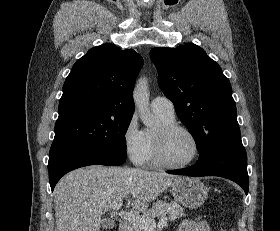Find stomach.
<instances>
[{
    "label": "stomach",
    "instance_id": "obj_1",
    "mask_svg": "<svg viewBox=\"0 0 280 231\" xmlns=\"http://www.w3.org/2000/svg\"><path fill=\"white\" fill-rule=\"evenodd\" d=\"M172 193L175 201H179L184 207L195 209L203 205L208 187L195 177H177L172 183Z\"/></svg>",
    "mask_w": 280,
    "mask_h": 231
}]
</instances>
